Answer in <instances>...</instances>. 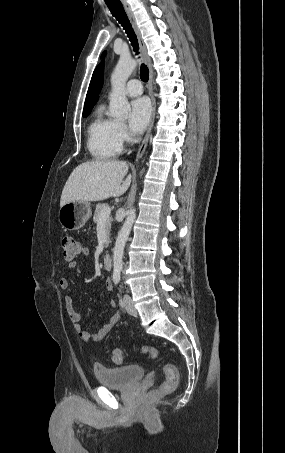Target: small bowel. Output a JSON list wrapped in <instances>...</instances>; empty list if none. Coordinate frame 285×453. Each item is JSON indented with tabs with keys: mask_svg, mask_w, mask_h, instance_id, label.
<instances>
[{
	"mask_svg": "<svg viewBox=\"0 0 285 453\" xmlns=\"http://www.w3.org/2000/svg\"><path fill=\"white\" fill-rule=\"evenodd\" d=\"M90 250L87 247L80 248V254L83 256L89 255ZM77 263L75 261H71L68 264L70 269L76 268ZM59 286L63 290H67L70 287V281L68 278H61L59 281ZM106 288L110 291L112 290V282L110 279L106 281ZM65 307L67 314L74 325V329L78 336L85 342H100L102 341L108 333L112 330V328L120 321L121 314L119 312L113 314L109 321L105 323L98 331L96 332H89L83 328L81 321V315L77 311L74 301L72 297L66 296L65 297ZM109 307L111 309L116 308V302L114 300H109Z\"/></svg>",
	"mask_w": 285,
	"mask_h": 453,
	"instance_id": "small-bowel-1",
	"label": "small bowel"
}]
</instances>
